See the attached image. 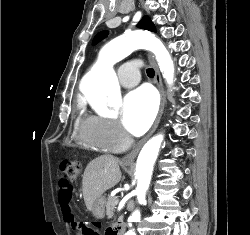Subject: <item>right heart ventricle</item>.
<instances>
[{
    "label": "right heart ventricle",
    "instance_id": "1",
    "mask_svg": "<svg viewBox=\"0 0 250 235\" xmlns=\"http://www.w3.org/2000/svg\"><path fill=\"white\" fill-rule=\"evenodd\" d=\"M77 136L84 146L103 152L113 151L105 147L95 135V117L86 113L84 105L79 103L77 116Z\"/></svg>",
    "mask_w": 250,
    "mask_h": 235
}]
</instances>
